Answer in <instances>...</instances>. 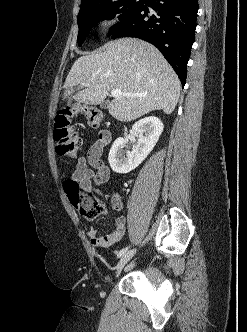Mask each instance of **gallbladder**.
I'll use <instances>...</instances> for the list:
<instances>
[{"label": "gallbladder", "mask_w": 247, "mask_h": 332, "mask_svg": "<svg viewBox=\"0 0 247 332\" xmlns=\"http://www.w3.org/2000/svg\"><path fill=\"white\" fill-rule=\"evenodd\" d=\"M101 108L105 109L107 107V102H102L100 105Z\"/></svg>", "instance_id": "obj_1"}]
</instances>
